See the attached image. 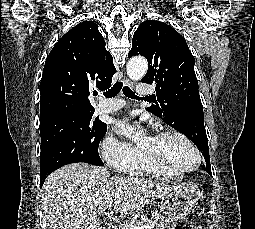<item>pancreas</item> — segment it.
Segmentation results:
<instances>
[{
	"mask_svg": "<svg viewBox=\"0 0 255 229\" xmlns=\"http://www.w3.org/2000/svg\"><path fill=\"white\" fill-rule=\"evenodd\" d=\"M133 224H136L139 226H142L143 224H152L153 225L152 229H164V227L161 224L157 223L156 221H146V222L141 221V222H134ZM121 229H128V227L123 226Z\"/></svg>",
	"mask_w": 255,
	"mask_h": 229,
	"instance_id": "1",
	"label": "pancreas"
}]
</instances>
